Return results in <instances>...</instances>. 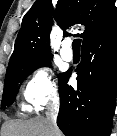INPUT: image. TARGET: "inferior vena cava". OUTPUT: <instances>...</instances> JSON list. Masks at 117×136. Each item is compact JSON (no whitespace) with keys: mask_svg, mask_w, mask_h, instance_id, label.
<instances>
[{"mask_svg":"<svg viewBox=\"0 0 117 136\" xmlns=\"http://www.w3.org/2000/svg\"><path fill=\"white\" fill-rule=\"evenodd\" d=\"M58 111H59V101L57 99H54L53 102L48 107V111L46 115H47V120L51 123L55 133L59 130L56 124ZM54 136H56V134H54Z\"/></svg>","mask_w":117,"mask_h":136,"instance_id":"inferior-vena-cava-1","label":"inferior vena cava"}]
</instances>
